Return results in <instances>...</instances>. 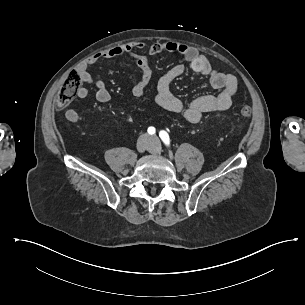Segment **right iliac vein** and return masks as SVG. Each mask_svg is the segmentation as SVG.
<instances>
[{
  "instance_id": "63e3f726",
  "label": "right iliac vein",
  "mask_w": 305,
  "mask_h": 305,
  "mask_svg": "<svg viewBox=\"0 0 305 305\" xmlns=\"http://www.w3.org/2000/svg\"><path fill=\"white\" fill-rule=\"evenodd\" d=\"M147 148H149V142L147 141V139H141L137 145V150L139 152H144Z\"/></svg>"
}]
</instances>
